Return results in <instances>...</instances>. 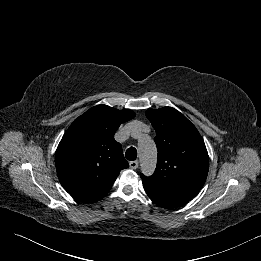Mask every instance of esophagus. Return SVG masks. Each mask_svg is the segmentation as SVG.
<instances>
[{
	"instance_id": "34e87169",
	"label": "esophagus",
	"mask_w": 261,
	"mask_h": 261,
	"mask_svg": "<svg viewBox=\"0 0 261 261\" xmlns=\"http://www.w3.org/2000/svg\"><path fill=\"white\" fill-rule=\"evenodd\" d=\"M138 165H139V162L137 160L136 161H131L129 163V166H130L131 169H137Z\"/></svg>"
}]
</instances>
